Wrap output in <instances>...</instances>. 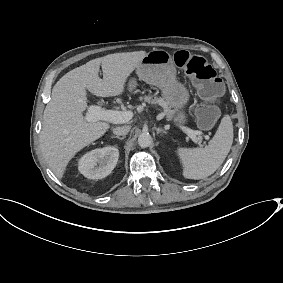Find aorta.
<instances>
[{"label": "aorta", "instance_id": "762f6f07", "mask_svg": "<svg viewBox=\"0 0 283 283\" xmlns=\"http://www.w3.org/2000/svg\"><path fill=\"white\" fill-rule=\"evenodd\" d=\"M152 142V137L149 133H142L138 137V145L142 148L149 147Z\"/></svg>", "mask_w": 283, "mask_h": 283}]
</instances>
